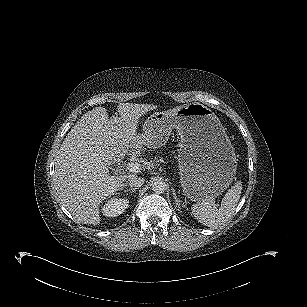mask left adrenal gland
Wrapping results in <instances>:
<instances>
[{"instance_id":"1","label":"left adrenal gland","mask_w":307,"mask_h":307,"mask_svg":"<svg viewBox=\"0 0 307 307\" xmlns=\"http://www.w3.org/2000/svg\"><path fill=\"white\" fill-rule=\"evenodd\" d=\"M172 191H173V198L175 199L176 205L180 208V206H181L180 202H181V201L177 198V195H176V193H175V190L172 189Z\"/></svg>"}]
</instances>
